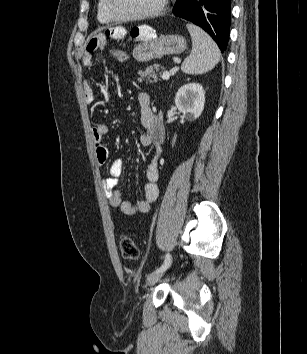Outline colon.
Here are the masks:
<instances>
[{
  "mask_svg": "<svg viewBox=\"0 0 307 354\" xmlns=\"http://www.w3.org/2000/svg\"><path fill=\"white\" fill-rule=\"evenodd\" d=\"M114 58L118 62H125L127 60V53L122 50H115L113 52ZM120 249L122 256L125 259L135 260L139 256L138 248L133 242V240L129 237H124L120 241Z\"/></svg>",
  "mask_w": 307,
  "mask_h": 354,
  "instance_id": "5ec220e1",
  "label": "colon"
}]
</instances>
